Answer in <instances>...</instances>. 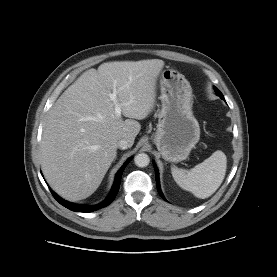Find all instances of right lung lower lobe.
Here are the masks:
<instances>
[{
    "instance_id": "right-lung-lower-lobe-1",
    "label": "right lung lower lobe",
    "mask_w": 277,
    "mask_h": 277,
    "mask_svg": "<svg viewBox=\"0 0 277 277\" xmlns=\"http://www.w3.org/2000/svg\"><path fill=\"white\" fill-rule=\"evenodd\" d=\"M131 159L132 158L128 159L126 161V163L121 167V169L117 172L116 178H115V182L113 184V187L111 189L110 194L108 195V197L103 202H101L98 205H95V206H84V205H78V204L70 203V202H67L66 200L62 199L61 197H59L51 189H50V191H51L52 195L54 196V198L61 205H63L64 207H66V208H68V209H70L72 211H75V212H92V211L101 209V208L106 207L109 204H111L113 202V200L115 199V197H116V195H117V193L119 191L122 173H123L125 167L130 162Z\"/></svg>"
}]
</instances>
